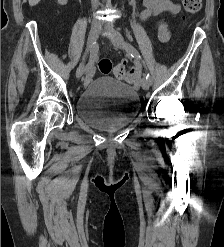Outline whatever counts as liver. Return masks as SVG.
Listing matches in <instances>:
<instances>
[{
    "label": "liver",
    "mask_w": 224,
    "mask_h": 247,
    "mask_svg": "<svg viewBox=\"0 0 224 247\" xmlns=\"http://www.w3.org/2000/svg\"><path fill=\"white\" fill-rule=\"evenodd\" d=\"M28 2H29V6H36V4L40 2V0H28Z\"/></svg>",
    "instance_id": "1"
}]
</instances>
